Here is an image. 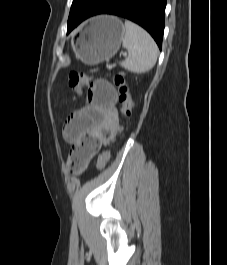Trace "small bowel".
I'll return each instance as SVG.
<instances>
[{"mask_svg":"<svg viewBox=\"0 0 227 265\" xmlns=\"http://www.w3.org/2000/svg\"><path fill=\"white\" fill-rule=\"evenodd\" d=\"M87 102L86 106L69 115L63 127L64 139L86 156V165L116 137L119 127L116 91L110 83L103 80L92 83Z\"/></svg>","mask_w":227,"mask_h":265,"instance_id":"small-bowel-1","label":"small bowel"}]
</instances>
